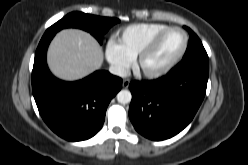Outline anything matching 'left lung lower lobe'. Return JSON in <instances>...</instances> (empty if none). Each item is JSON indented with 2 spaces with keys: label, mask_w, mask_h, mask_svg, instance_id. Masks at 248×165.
Instances as JSON below:
<instances>
[{
  "label": "left lung lower lobe",
  "mask_w": 248,
  "mask_h": 165,
  "mask_svg": "<svg viewBox=\"0 0 248 165\" xmlns=\"http://www.w3.org/2000/svg\"><path fill=\"white\" fill-rule=\"evenodd\" d=\"M206 51L183 57L167 75L133 81L129 117L135 129L151 140H165L182 131L201 105L207 87Z\"/></svg>",
  "instance_id": "1"
}]
</instances>
